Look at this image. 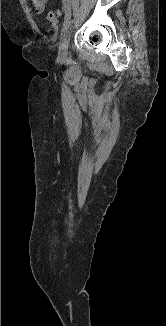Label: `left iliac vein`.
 Returning <instances> with one entry per match:
<instances>
[{
    "label": "left iliac vein",
    "instance_id": "1",
    "mask_svg": "<svg viewBox=\"0 0 166 326\" xmlns=\"http://www.w3.org/2000/svg\"><path fill=\"white\" fill-rule=\"evenodd\" d=\"M65 32H66V34H65L63 41L59 48V55L62 58H65L67 56V49H68L69 40H70L69 27Z\"/></svg>",
    "mask_w": 166,
    "mask_h": 326
}]
</instances>
